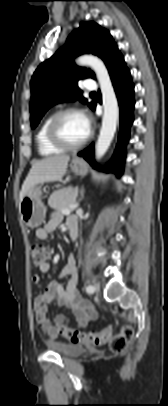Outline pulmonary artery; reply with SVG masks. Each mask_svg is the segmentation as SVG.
<instances>
[{
    "label": "pulmonary artery",
    "instance_id": "pulmonary-artery-1",
    "mask_svg": "<svg viewBox=\"0 0 168 406\" xmlns=\"http://www.w3.org/2000/svg\"><path fill=\"white\" fill-rule=\"evenodd\" d=\"M97 88L96 82L93 79H86L85 81V89L86 90H95Z\"/></svg>",
    "mask_w": 168,
    "mask_h": 406
}]
</instances>
